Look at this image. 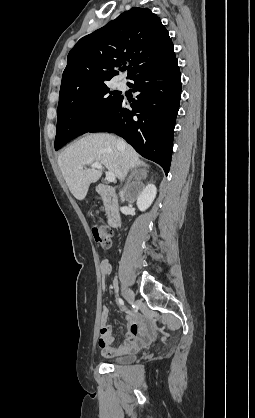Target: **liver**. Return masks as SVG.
Masks as SVG:
<instances>
[{"label": "liver", "mask_w": 255, "mask_h": 418, "mask_svg": "<svg viewBox=\"0 0 255 418\" xmlns=\"http://www.w3.org/2000/svg\"><path fill=\"white\" fill-rule=\"evenodd\" d=\"M127 152L130 160L129 168L148 167L129 145ZM93 163L104 165L119 180L124 179L127 174L122 169L121 150L117 147L115 136L105 133L84 136L67 147L58 157V165L66 184L78 200L86 197L90 184L98 181L102 175L99 169H80Z\"/></svg>", "instance_id": "6515ba94"}]
</instances>
